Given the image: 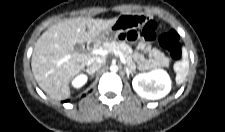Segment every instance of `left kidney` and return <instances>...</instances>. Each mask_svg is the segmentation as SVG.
<instances>
[{
	"label": "left kidney",
	"mask_w": 225,
	"mask_h": 132,
	"mask_svg": "<svg viewBox=\"0 0 225 132\" xmlns=\"http://www.w3.org/2000/svg\"><path fill=\"white\" fill-rule=\"evenodd\" d=\"M132 86L142 98L157 100L170 92L171 80L166 71L158 69L136 75L133 78Z\"/></svg>",
	"instance_id": "1"
}]
</instances>
